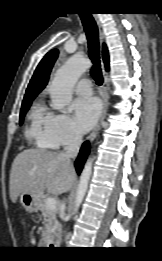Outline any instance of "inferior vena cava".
I'll return each mask as SVG.
<instances>
[{
  "instance_id": "1",
  "label": "inferior vena cava",
  "mask_w": 162,
  "mask_h": 261,
  "mask_svg": "<svg viewBox=\"0 0 162 261\" xmlns=\"http://www.w3.org/2000/svg\"><path fill=\"white\" fill-rule=\"evenodd\" d=\"M82 142V134L80 132H75L68 145L65 147V152L62 153V157L71 164V158H74L79 152V147Z\"/></svg>"
}]
</instances>
